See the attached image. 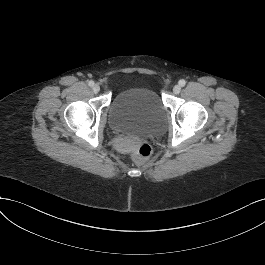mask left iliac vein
Masks as SVG:
<instances>
[{
    "instance_id": "4c4485c4",
    "label": "left iliac vein",
    "mask_w": 265,
    "mask_h": 265,
    "mask_svg": "<svg viewBox=\"0 0 265 265\" xmlns=\"http://www.w3.org/2000/svg\"><path fill=\"white\" fill-rule=\"evenodd\" d=\"M181 91V87L179 85H175L174 88H173V92L175 94H179Z\"/></svg>"
}]
</instances>
